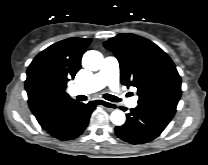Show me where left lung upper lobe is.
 I'll use <instances>...</instances> for the list:
<instances>
[{
    "mask_svg": "<svg viewBox=\"0 0 208 165\" xmlns=\"http://www.w3.org/2000/svg\"><path fill=\"white\" fill-rule=\"evenodd\" d=\"M120 64L121 82L138 89V105L173 104L181 97V78L169 56L153 42L122 33L104 42Z\"/></svg>",
    "mask_w": 208,
    "mask_h": 165,
    "instance_id": "left-lung-upper-lobe-1",
    "label": "left lung upper lobe"
}]
</instances>
